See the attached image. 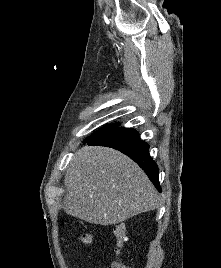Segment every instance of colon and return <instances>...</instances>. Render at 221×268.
<instances>
[{
  "label": "colon",
  "mask_w": 221,
  "mask_h": 268,
  "mask_svg": "<svg viewBox=\"0 0 221 268\" xmlns=\"http://www.w3.org/2000/svg\"><path fill=\"white\" fill-rule=\"evenodd\" d=\"M114 234L117 239L118 251L124 247V244L127 240L126 228L122 224H118L114 227ZM79 240L84 244H90L92 242V235L88 232L82 233L79 236ZM123 262L117 260L109 268H127Z\"/></svg>",
  "instance_id": "colon-1"
}]
</instances>
